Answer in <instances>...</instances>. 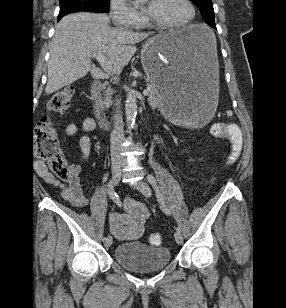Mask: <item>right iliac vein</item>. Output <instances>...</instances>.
I'll return each instance as SVG.
<instances>
[{
	"label": "right iliac vein",
	"mask_w": 286,
	"mask_h": 308,
	"mask_svg": "<svg viewBox=\"0 0 286 308\" xmlns=\"http://www.w3.org/2000/svg\"><path fill=\"white\" fill-rule=\"evenodd\" d=\"M112 175H113V183L115 186L118 185L120 180V163L117 158V154L114 155L113 163H112ZM105 247H110L112 245V237L108 236L104 241Z\"/></svg>",
	"instance_id": "1"
}]
</instances>
